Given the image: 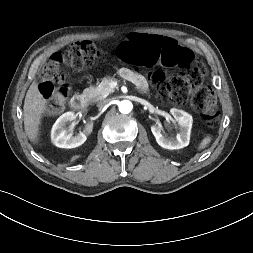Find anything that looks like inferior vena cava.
<instances>
[{"label": "inferior vena cava", "instance_id": "inferior-vena-cava-1", "mask_svg": "<svg viewBox=\"0 0 253 253\" xmlns=\"http://www.w3.org/2000/svg\"><path fill=\"white\" fill-rule=\"evenodd\" d=\"M108 102H109V100H107V99L101 100L98 102L97 107L103 108L104 106H106L108 104Z\"/></svg>", "mask_w": 253, "mask_h": 253}]
</instances>
